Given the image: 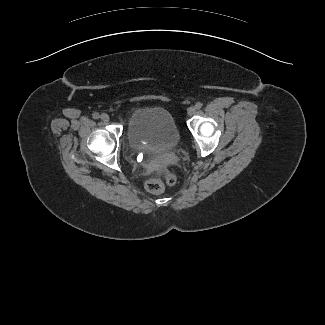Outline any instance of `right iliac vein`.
<instances>
[{"instance_id":"right-iliac-vein-1","label":"right iliac vein","mask_w":325,"mask_h":325,"mask_svg":"<svg viewBox=\"0 0 325 325\" xmlns=\"http://www.w3.org/2000/svg\"><path fill=\"white\" fill-rule=\"evenodd\" d=\"M100 118L104 122H108L109 119H110L109 116L106 113L101 114Z\"/></svg>"}]
</instances>
